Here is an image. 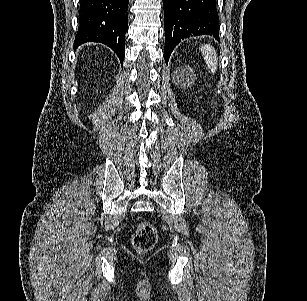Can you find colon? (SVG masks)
I'll return each mask as SVG.
<instances>
[{
	"label": "colon",
	"mask_w": 307,
	"mask_h": 301,
	"mask_svg": "<svg viewBox=\"0 0 307 301\" xmlns=\"http://www.w3.org/2000/svg\"><path fill=\"white\" fill-rule=\"evenodd\" d=\"M158 239L155 226L147 221L141 222L132 236V244L140 254L151 251Z\"/></svg>",
	"instance_id": "5ec220e1"
}]
</instances>
